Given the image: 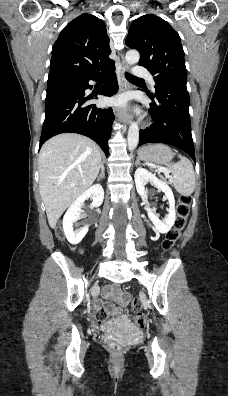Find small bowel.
Returning a JSON list of instances; mask_svg holds the SVG:
<instances>
[{
	"mask_svg": "<svg viewBox=\"0 0 228 396\" xmlns=\"http://www.w3.org/2000/svg\"><path fill=\"white\" fill-rule=\"evenodd\" d=\"M104 296H105V301H96L95 305L98 309H100L104 314L109 313V314H118L122 311V308L127 304L129 300V295L126 293H122L118 288H110L107 287L104 290ZM110 300H114L117 304L115 306ZM98 322L100 324L104 323V317L103 319H98Z\"/></svg>",
	"mask_w": 228,
	"mask_h": 396,
	"instance_id": "c3829d8e",
	"label": "small bowel"
}]
</instances>
